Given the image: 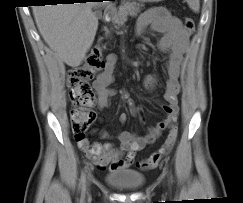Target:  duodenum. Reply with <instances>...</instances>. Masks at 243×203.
<instances>
[{"label": "duodenum", "mask_w": 243, "mask_h": 203, "mask_svg": "<svg viewBox=\"0 0 243 203\" xmlns=\"http://www.w3.org/2000/svg\"><path fill=\"white\" fill-rule=\"evenodd\" d=\"M111 13H112V9L111 8L105 10L104 11V15H103V20L108 22L111 19Z\"/></svg>", "instance_id": "1"}]
</instances>
